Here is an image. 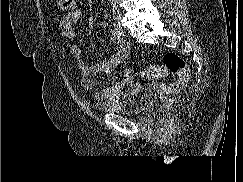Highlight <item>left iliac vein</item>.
Here are the masks:
<instances>
[{
  "label": "left iliac vein",
  "instance_id": "obj_1",
  "mask_svg": "<svg viewBox=\"0 0 243 182\" xmlns=\"http://www.w3.org/2000/svg\"><path fill=\"white\" fill-rule=\"evenodd\" d=\"M120 31H121L122 34H124V30L121 27H120Z\"/></svg>",
  "mask_w": 243,
  "mask_h": 182
}]
</instances>
